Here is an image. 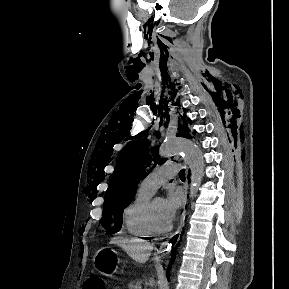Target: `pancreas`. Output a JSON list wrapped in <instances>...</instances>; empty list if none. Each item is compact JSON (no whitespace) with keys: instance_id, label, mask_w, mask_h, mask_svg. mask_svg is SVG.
Masks as SVG:
<instances>
[{"instance_id":"obj_1","label":"pancreas","mask_w":289,"mask_h":289,"mask_svg":"<svg viewBox=\"0 0 289 289\" xmlns=\"http://www.w3.org/2000/svg\"><path fill=\"white\" fill-rule=\"evenodd\" d=\"M141 284H142L141 281H137V282L134 283V284H130V285H129V289H142V288H141Z\"/></svg>"}]
</instances>
